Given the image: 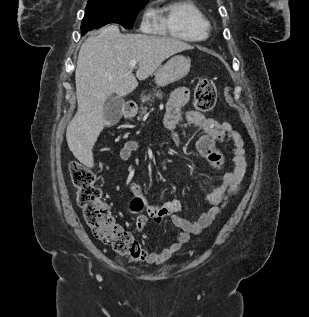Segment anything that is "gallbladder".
Listing matches in <instances>:
<instances>
[{
  "label": "gallbladder",
  "mask_w": 309,
  "mask_h": 317,
  "mask_svg": "<svg viewBox=\"0 0 309 317\" xmlns=\"http://www.w3.org/2000/svg\"><path fill=\"white\" fill-rule=\"evenodd\" d=\"M124 99L118 96H110L104 105V119L107 126H113L122 117Z\"/></svg>",
  "instance_id": "1"
}]
</instances>
